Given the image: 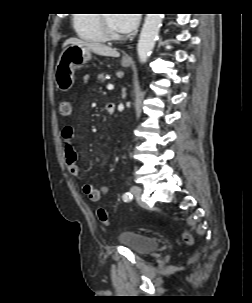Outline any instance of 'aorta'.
<instances>
[{"instance_id": "762f6f07", "label": "aorta", "mask_w": 252, "mask_h": 303, "mask_svg": "<svg viewBox=\"0 0 252 303\" xmlns=\"http://www.w3.org/2000/svg\"><path fill=\"white\" fill-rule=\"evenodd\" d=\"M163 14H146L137 44L139 61L145 63L151 54L159 35Z\"/></svg>"}]
</instances>
